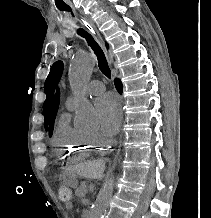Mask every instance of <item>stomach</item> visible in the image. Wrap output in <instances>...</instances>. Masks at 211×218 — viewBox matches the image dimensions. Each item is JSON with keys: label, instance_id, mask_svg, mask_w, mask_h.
Segmentation results:
<instances>
[{"label": "stomach", "instance_id": "obj_1", "mask_svg": "<svg viewBox=\"0 0 211 218\" xmlns=\"http://www.w3.org/2000/svg\"><path fill=\"white\" fill-rule=\"evenodd\" d=\"M64 183L69 187H77L78 186V180L77 175L75 174H68L64 177Z\"/></svg>", "mask_w": 211, "mask_h": 218}]
</instances>
